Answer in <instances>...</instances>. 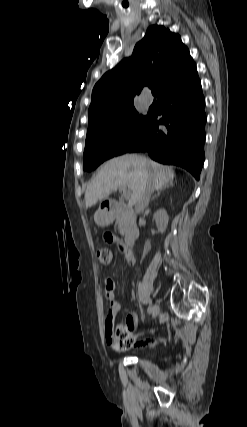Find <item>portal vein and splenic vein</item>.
I'll list each match as a JSON object with an SVG mask.
<instances>
[{
	"mask_svg": "<svg viewBox=\"0 0 247 427\" xmlns=\"http://www.w3.org/2000/svg\"><path fill=\"white\" fill-rule=\"evenodd\" d=\"M121 191H122L124 197H128L130 194V192L127 191L125 187L121 188Z\"/></svg>",
	"mask_w": 247,
	"mask_h": 427,
	"instance_id": "obj_1",
	"label": "portal vein and splenic vein"
}]
</instances>
